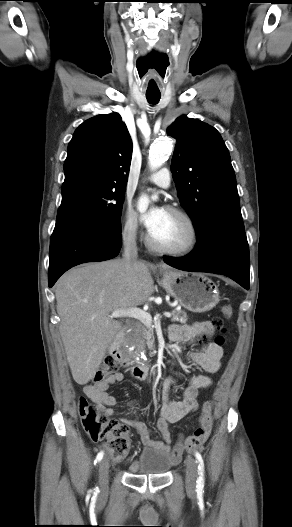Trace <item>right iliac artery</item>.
I'll return each instance as SVG.
<instances>
[{"label": "right iliac artery", "instance_id": "obj_1", "mask_svg": "<svg viewBox=\"0 0 292 527\" xmlns=\"http://www.w3.org/2000/svg\"><path fill=\"white\" fill-rule=\"evenodd\" d=\"M103 455H104L103 451H100V452L97 454V456H96V460H95V464L98 463V462H100V461L102 460ZM96 490H97V488H96Z\"/></svg>", "mask_w": 292, "mask_h": 527}]
</instances>
